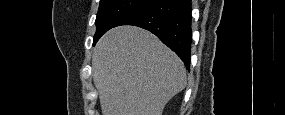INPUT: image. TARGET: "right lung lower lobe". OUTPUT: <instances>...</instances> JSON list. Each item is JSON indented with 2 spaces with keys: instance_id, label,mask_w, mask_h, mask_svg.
Returning a JSON list of instances; mask_svg holds the SVG:
<instances>
[{
  "instance_id": "obj_1",
  "label": "right lung lower lobe",
  "mask_w": 285,
  "mask_h": 115,
  "mask_svg": "<svg viewBox=\"0 0 285 115\" xmlns=\"http://www.w3.org/2000/svg\"><path fill=\"white\" fill-rule=\"evenodd\" d=\"M191 0H151L123 17L116 26L134 25L155 34L190 69Z\"/></svg>"
}]
</instances>
